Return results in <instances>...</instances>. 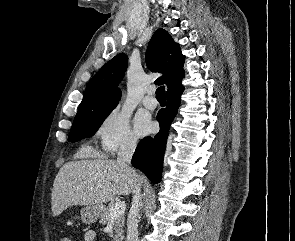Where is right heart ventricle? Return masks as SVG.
Instances as JSON below:
<instances>
[{
	"mask_svg": "<svg viewBox=\"0 0 295 241\" xmlns=\"http://www.w3.org/2000/svg\"><path fill=\"white\" fill-rule=\"evenodd\" d=\"M79 154H81V155H93V154H95V152L91 148L85 147V148L81 149Z\"/></svg>",
	"mask_w": 295,
	"mask_h": 241,
	"instance_id": "obj_1",
	"label": "right heart ventricle"
}]
</instances>
